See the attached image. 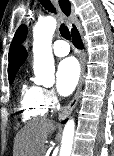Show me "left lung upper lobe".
Here are the masks:
<instances>
[{"instance_id":"1","label":"left lung upper lobe","mask_w":114,"mask_h":156,"mask_svg":"<svg viewBox=\"0 0 114 156\" xmlns=\"http://www.w3.org/2000/svg\"><path fill=\"white\" fill-rule=\"evenodd\" d=\"M28 29L25 25H21L19 26V28L17 29L15 36L13 38V41L11 43L10 46V50H9V57H11L13 51L15 50V48L24 41V39L26 38Z\"/></svg>"}]
</instances>
